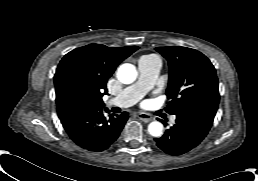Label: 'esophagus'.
Segmentation results:
<instances>
[{
    "mask_svg": "<svg viewBox=\"0 0 258 181\" xmlns=\"http://www.w3.org/2000/svg\"><path fill=\"white\" fill-rule=\"evenodd\" d=\"M137 117L145 123H148L153 119V117L147 113H139Z\"/></svg>",
    "mask_w": 258,
    "mask_h": 181,
    "instance_id": "obj_1",
    "label": "esophagus"
}]
</instances>
